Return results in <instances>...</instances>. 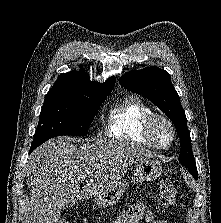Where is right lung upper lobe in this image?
Returning <instances> with one entry per match:
<instances>
[{"instance_id":"obj_1","label":"right lung upper lobe","mask_w":221,"mask_h":223,"mask_svg":"<svg viewBox=\"0 0 221 223\" xmlns=\"http://www.w3.org/2000/svg\"><path fill=\"white\" fill-rule=\"evenodd\" d=\"M114 85L115 77L109 78L104 83H98L90 81L84 70L62 73L45 96L44 102L102 99L109 95Z\"/></svg>"}]
</instances>
